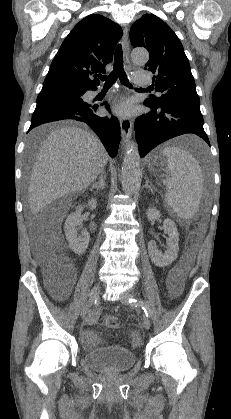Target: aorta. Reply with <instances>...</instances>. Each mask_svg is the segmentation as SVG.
Wrapping results in <instances>:
<instances>
[{
	"instance_id": "aorta-1",
	"label": "aorta",
	"mask_w": 231,
	"mask_h": 419,
	"mask_svg": "<svg viewBox=\"0 0 231 419\" xmlns=\"http://www.w3.org/2000/svg\"><path fill=\"white\" fill-rule=\"evenodd\" d=\"M131 57L136 64H145L149 59V53L145 49H134ZM140 181V155L137 143L131 141L128 145L123 160L121 183L126 194H133Z\"/></svg>"
}]
</instances>
